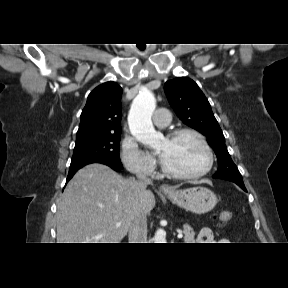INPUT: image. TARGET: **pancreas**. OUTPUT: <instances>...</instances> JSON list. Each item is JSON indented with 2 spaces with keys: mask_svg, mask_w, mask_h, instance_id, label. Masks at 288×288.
<instances>
[{
  "mask_svg": "<svg viewBox=\"0 0 288 288\" xmlns=\"http://www.w3.org/2000/svg\"><path fill=\"white\" fill-rule=\"evenodd\" d=\"M184 243H193L195 232L189 226H184Z\"/></svg>",
  "mask_w": 288,
  "mask_h": 288,
  "instance_id": "cf45deb5",
  "label": "pancreas"
}]
</instances>
